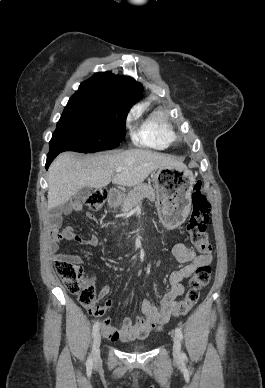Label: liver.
<instances>
[{
  "instance_id": "liver-1",
  "label": "liver",
  "mask_w": 265,
  "mask_h": 388,
  "mask_svg": "<svg viewBox=\"0 0 265 388\" xmlns=\"http://www.w3.org/2000/svg\"><path fill=\"white\" fill-rule=\"evenodd\" d=\"M116 168H127L113 176ZM158 168H186L182 162L151 150H126L120 154H103L79 160L71 152L60 154L48 170L47 210L69 202L82 188H105L110 182L118 186H138Z\"/></svg>"
}]
</instances>
